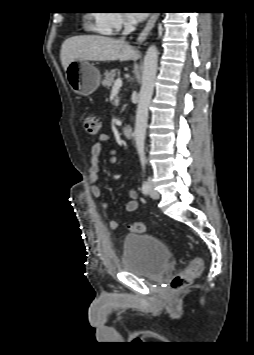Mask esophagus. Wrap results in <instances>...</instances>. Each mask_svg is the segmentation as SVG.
Here are the masks:
<instances>
[{"mask_svg": "<svg viewBox=\"0 0 254 355\" xmlns=\"http://www.w3.org/2000/svg\"><path fill=\"white\" fill-rule=\"evenodd\" d=\"M158 18V14L157 13H152L149 20L147 21L145 27L143 28V30L140 32L138 38H137V43H142L145 41V39L147 38V36L149 35V33L151 32V30L153 29L156 20Z\"/></svg>", "mask_w": 254, "mask_h": 355, "instance_id": "obj_1", "label": "esophagus"}]
</instances>
